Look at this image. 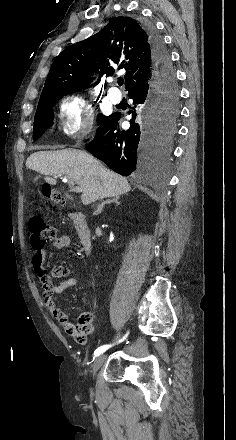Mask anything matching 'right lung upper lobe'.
I'll list each match as a JSON object with an SVG mask.
<instances>
[{
	"instance_id": "cb5924a9",
	"label": "right lung upper lobe",
	"mask_w": 236,
	"mask_h": 440,
	"mask_svg": "<svg viewBox=\"0 0 236 440\" xmlns=\"http://www.w3.org/2000/svg\"><path fill=\"white\" fill-rule=\"evenodd\" d=\"M114 66L125 70L128 93L153 80L148 35L142 25L128 17L111 19L102 31L63 50L51 66L40 100L86 89L94 72L112 75Z\"/></svg>"
}]
</instances>
